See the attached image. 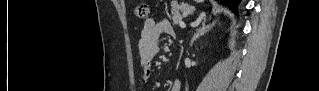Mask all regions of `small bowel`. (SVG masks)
<instances>
[{
    "instance_id": "1",
    "label": "small bowel",
    "mask_w": 319,
    "mask_h": 91,
    "mask_svg": "<svg viewBox=\"0 0 319 91\" xmlns=\"http://www.w3.org/2000/svg\"><path fill=\"white\" fill-rule=\"evenodd\" d=\"M161 34H174L173 26L168 19L150 18L145 21L138 42V56L144 80H148L152 75V64L160 50L158 39ZM180 90L181 83L179 80H175L170 91Z\"/></svg>"
}]
</instances>
